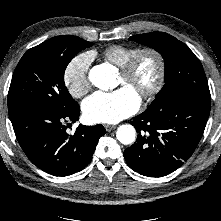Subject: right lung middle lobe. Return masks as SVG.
Listing matches in <instances>:
<instances>
[{
  "label": "right lung middle lobe",
  "instance_id": "dd1d6c3e",
  "mask_svg": "<svg viewBox=\"0 0 221 221\" xmlns=\"http://www.w3.org/2000/svg\"><path fill=\"white\" fill-rule=\"evenodd\" d=\"M93 43L61 35L29 49L18 63L8 92L9 115L29 108L65 112L78 106L64 83L68 63Z\"/></svg>",
  "mask_w": 221,
  "mask_h": 221
}]
</instances>
